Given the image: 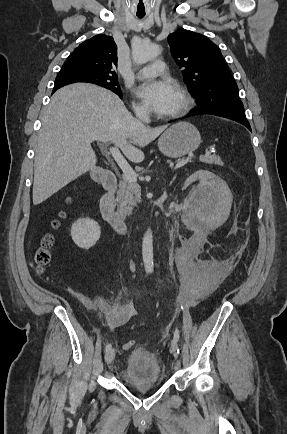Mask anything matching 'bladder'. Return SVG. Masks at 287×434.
Wrapping results in <instances>:
<instances>
[{
	"label": "bladder",
	"instance_id": "bladder-1",
	"mask_svg": "<svg viewBox=\"0 0 287 434\" xmlns=\"http://www.w3.org/2000/svg\"><path fill=\"white\" fill-rule=\"evenodd\" d=\"M120 378L124 384L140 388L159 385L163 373L156 357L133 353L120 371Z\"/></svg>",
	"mask_w": 287,
	"mask_h": 434
}]
</instances>
